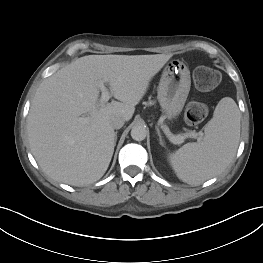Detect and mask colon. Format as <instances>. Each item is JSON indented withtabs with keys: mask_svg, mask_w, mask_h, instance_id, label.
Segmentation results:
<instances>
[{
	"mask_svg": "<svg viewBox=\"0 0 263 263\" xmlns=\"http://www.w3.org/2000/svg\"><path fill=\"white\" fill-rule=\"evenodd\" d=\"M193 78L197 89L200 91H210L220 82L219 72L205 66L196 68ZM207 114L208 109L205 104L193 101L187 105L184 116L188 124L197 125L206 118Z\"/></svg>",
	"mask_w": 263,
	"mask_h": 263,
	"instance_id": "5ec220e1",
	"label": "colon"
}]
</instances>
